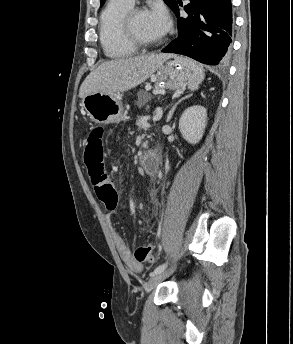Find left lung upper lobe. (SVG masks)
<instances>
[{"mask_svg":"<svg viewBox=\"0 0 293 344\" xmlns=\"http://www.w3.org/2000/svg\"><path fill=\"white\" fill-rule=\"evenodd\" d=\"M104 1H105V0H100V2H101V5H100V6H102V5L104 4ZM164 2H165L171 9H173L174 6H175V4H176V0H164Z\"/></svg>","mask_w":293,"mask_h":344,"instance_id":"left-lung-upper-lobe-1","label":"left lung upper lobe"}]
</instances>
